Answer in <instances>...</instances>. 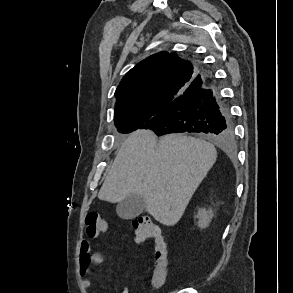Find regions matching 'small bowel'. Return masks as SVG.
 Masks as SVG:
<instances>
[{
    "mask_svg": "<svg viewBox=\"0 0 293 293\" xmlns=\"http://www.w3.org/2000/svg\"><path fill=\"white\" fill-rule=\"evenodd\" d=\"M108 231L104 232L107 233ZM104 256L99 252H91V244L83 238L80 243L79 254V270L82 275H87L90 272L92 266H100L104 263ZM83 287L88 291L93 292V285L90 280L84 279L82 281ZM122 293H128V289L124 288Z\"/></svg>",
    "mask_w": 293,
    "mask_h": 293,
    "instance_id": "obj_1",
    "label": "small bowel"
}]
</instances>
